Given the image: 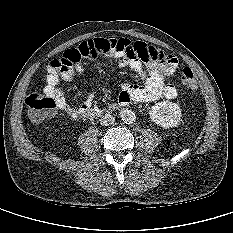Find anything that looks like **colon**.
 <instances>
[{
    "label": "colon",
    "instance_id": "1",
    "mask_svg": "<svg viewBox=\"0 0 233 233\" xmlns=\"http://www.w3.org/2000/svg\"><path fill=\"white\" fill-rule=\"evenodd\" d=\"M125 49L123 40H90L77 48L66 50L60 58L52 59L50 65L58 72H66L82 58L96 59L103 54H110ZM181 82L191 90L197 88V81L192 70L185 67L180 75ZM29 117L40 122L50 117L57 109V101L53 93L33 92L25 100Z\"/></svg>",
    "mask_w": 233,
    "mask_h": 233
}]
</instances>
